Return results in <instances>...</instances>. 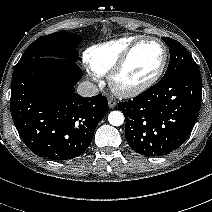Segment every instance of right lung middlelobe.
I'll list each match as a JSON object with an SVG mask.
<instances>
[{"label":"right lung middle lobe","mask_w":212,"mask_h":212,"mask_svg":"<svg viewBox=\"0 0 212 212\" xmlns=\"http://www.w3.org/2000/svg\"><path fill=\"white\" fill-rule=\"evenodd\" d=\"M81 42V36L68 32H56L39 37L27 48L15 67L42 57L68 58L76 62V47Z\"/></svg>","instance_id":"dd1d6c3e"}]
</instances>
